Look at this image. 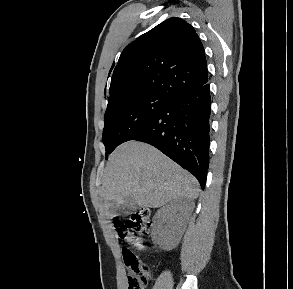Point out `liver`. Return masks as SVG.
Here are the masks:
<instances>
[{"instance_id": "liver-1", "label": "liver", "mask_w": 293, "mask_h": 289, "mask_svg": "<svg viewBox=\"0 0 293 289\" xmlns=\"http://www.w3.org/2000/svg\"><path fill=\"white\" fill-rule=\"evenodd\" d=\"M100 191L107 207L126 196L140 207L158 208L180 197L199 195L196 178L153 146L136 141L112 152Z\"/></svg>"}]
</instances>
